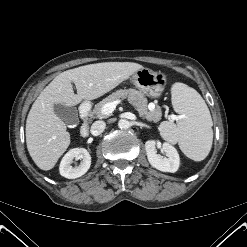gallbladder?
<instances>
[{"mask_svg": "<svg viewBox=\"0 0 247 247\" xmlns=\"http://www.w3.org/2000/svg\"><path fill=\"white\" fill-rule=\"evenodd\" d=\"M54 112L67 125L76 126L79 123L77 109L73 106L55 104Z\"/></svg>", "mask_w": 247, "mask_h": 247, "instance_id": "gallbladder-1", "label": "gallbladder"}]
</instances>
